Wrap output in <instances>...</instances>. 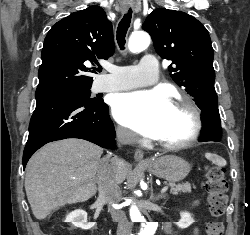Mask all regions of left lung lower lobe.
Masks as SVG:
<instances>
[{"mask_svg": "<svg viewBox=\"0 0 250 235\" xmlns=\"http://www.w3.org/2000/svg\"><path fill=\"white\" fill-rule=\"evenodd\" d=\"M202 120L204 127L202 128V137L199 141H219L221 137V121L217 105H212L203 110Z\"/></svg>", "mask_w": 250, "mask_h": 235, "instance_id": "1", "label": "left lung lower lobe"}]
</instances>
